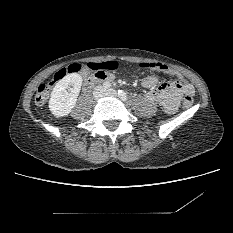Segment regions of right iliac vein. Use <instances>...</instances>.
Here are the masks:
<instances>
[{
    "mask_svg": "<svg viewBox=\"0 0 233 233\" xmlns=\"http://www.w3.org/2000/svg\"><path fill=\"white\" fill-rule=\"evenodd\" d=\"M104 93V89L103 88H99L97 91L98 96L102 95Z\"/></svg>",
    "mask_w": 233,
    "mask_h": 233,
    "instance_id": "obj_1",
    "label": "right iliac vein"
}]
</instances>
